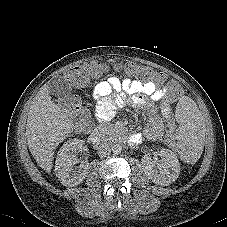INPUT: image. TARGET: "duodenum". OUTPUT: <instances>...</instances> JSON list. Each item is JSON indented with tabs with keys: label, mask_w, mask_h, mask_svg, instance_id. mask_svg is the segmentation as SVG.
<instances>
[{
	"label": "duodenum",
	"mask_w": 227,
	"mask_h": 227,
	"mask_svg": "<svg viewBox=\"0 0 227 227\" xmlns=\"http://www.w3.org/2000/svg\"><path fill=\"white\" fill-rule=\"evenodd\" d=\"M104 135L105 133L102 129H96L88 134V139L92 144L98 145Z\"/></svg>",
	"instance_id": "obj_1"
}]
</instances>
